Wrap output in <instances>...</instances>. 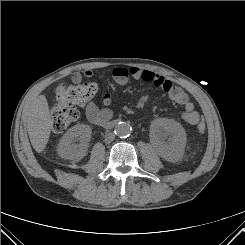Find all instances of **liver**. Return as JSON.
<instances>
[{
  "label": "liver",
  "mask_w": 245,
  "mask_h": 245,
  "mask_svg": "<svg viewBox=\"0 0 245 245\" xmlns=\"http://www.w3.org/2000/svg\"><path fill=\"white\" fill-rule=\"evenodd\" d=\"M53 122L47 99L37 97L27 112V130L31 144L36 152L41 153L49 140Z\"/></svg>",
  "instance_id": "1"
}]
</instances>
